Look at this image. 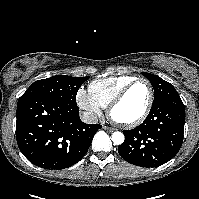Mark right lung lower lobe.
<instances>
[{
	"label": "right lung lower lobe",
	"mask_w": 199,
	"mask_h": 199,
	"mask_svg": "<svg viewBox=\"0 0 199 199\" xmlns=\"http://www.w3.org/2000/svg\"><path fill=\"white\" fill-rule=\"evenodd\" d=\"M16 117L20 151L46 169L59 170L77 163L102 127L83 123L77 105L40 96L18 101Z\"/></svg>",
	"instance_id": "98d812e1"
}]
</instances>
